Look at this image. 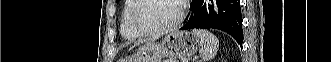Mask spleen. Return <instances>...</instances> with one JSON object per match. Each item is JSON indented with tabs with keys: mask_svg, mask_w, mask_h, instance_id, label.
I'll return each instance as SVG.
<instances>
[{
	"mask_svg": "<svg viewBox=\"0 0 331 62\" xmlns=\"http://www.w3.org/2000/svg\"><path fill=\"white\" fill-rule=\"evenodd\" d=\"M193 34H195L200 39V56L202 60L207 62L214 58L219 47L218 39L207 30L194 29Z\"/></svg>",
	"mask_w": 331,
	"mask_h": 62,
	"instance_id": "spleen-1",
	"label": "spleen"
}]
</instances>
